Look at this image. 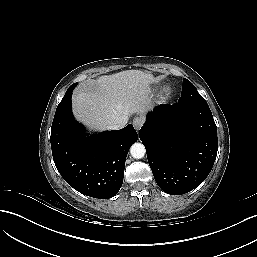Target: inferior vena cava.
Listing matches in <instances>:
<instances>
[{
  "label": "inferior vena cava",
  "mask_w": 257,
  "mask_h": 257,
  "mask_svg": "<svg viewBox=\"0 0 257 257\" xmlns=\"http://www.w3.org/2000/svg\"><path fill=\"white\" fill-rule=\"evenodd\" d=\"M127 121H128V117L124 116L121 119H119L118 121L107 125V129L108 130H118L120 128H123L126 125Z\"/></svg>",
  "instance_id": "602c4592"
}]
</instances>
